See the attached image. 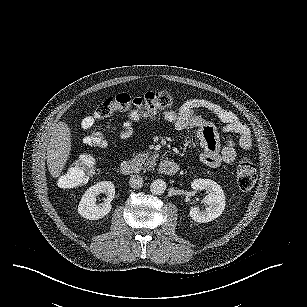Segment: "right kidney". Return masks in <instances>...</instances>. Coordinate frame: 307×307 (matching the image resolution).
<instances>
[{
    "instance_id": "1",
    "label": "right kidney",
    "mask_w": 307,
    "mask_h": 307,
    "mask_svg": "<svg viewBox=\"0 0 307 307\" xmlns=\"http://www.w3.org/2000/svg\"><path fill=\"white\" fill-rule=\"evenodd\" d=\"M100 194H105L106 198L104 199V202L97 204L96 198ZM114 197L115 186L111 181L98 182L89 187L83 194L78 205V213L85 219H101L111 211V201Z\"/></svg>"
}]
</instances>
